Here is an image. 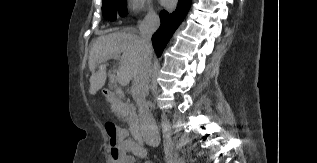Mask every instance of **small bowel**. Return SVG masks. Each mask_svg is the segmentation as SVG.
I'll return each instance as SVG.
<instances>
[{"instance_id":"obj_1","label":"small bowel","mask_w":317,"mask_h":163,"mask_svg":"<svg viewBox=\"0 0 317 163\" xmlns=\"http://www.w3.org/2000/svg\"><path fill=\"white\" fill-rule=\"evenodd\" d=\"M119 140L121 141V158L118 163H135L136 158H146V150L138 146L134 141L127 139L126 131L119 130ZM144 163H152L146 160Z\"/></svg>"}]
</instances>
